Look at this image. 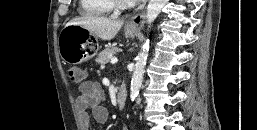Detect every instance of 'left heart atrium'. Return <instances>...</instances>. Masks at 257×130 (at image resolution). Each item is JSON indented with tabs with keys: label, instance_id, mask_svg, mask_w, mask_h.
I'll return each mask as SVG.
<instances>
[{
	"label": "left heart atrium",
	"instance_id": "1",
	"mask_svg": "<svg viewBox=\"0 0 257 130\" xmlns=\"http://www.w3.org/2000/svg\"><path fill=\"white\" fill-rule=\"evenodd\" d=\"M134 3H137V2H140V1H143V0H132Z\"/></svg>",
	"mask_w": 257,
	"mask_h": 130
}]
</instances>
